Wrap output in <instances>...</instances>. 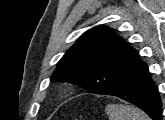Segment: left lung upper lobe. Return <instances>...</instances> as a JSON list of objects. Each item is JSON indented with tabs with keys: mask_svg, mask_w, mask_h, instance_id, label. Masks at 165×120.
Returning <instances> with one entry per match:
<instances>
[{
	"mask_svg": "<svg viewBox=\"0 0 165 120\" xmlns=\"http://www.w3.org/2000/svg\"><path fill=\"white\" fill-rule=\"evenodd\" d=\"M136 53L113 29L97 26L65 53L50 80L71 82L89 93L108 95L121 84Z\"/></svg>",
	"mask_w": 165,
	"mask_h": 120,
	"instance_id": "left-lung-upper-lobe-1",
	"label": "left lung upper lobe"
}]
</instances>
